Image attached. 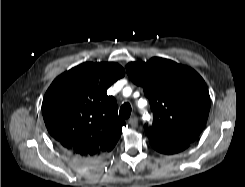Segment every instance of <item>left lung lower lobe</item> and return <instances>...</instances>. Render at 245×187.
Listing matches in <instances>:
<instances>
[{
    "label": "left lung lower lobe",
    "instance_id": "1",
    "mask_svg": "<svg viewBox=\"0 0 245 187\" xmlns=\"http://www.w3.org/2000/svg\"><path fill=\"white\" fill-rule=\"evenodd\" d=\"M151 146L160 153L163 154H175L186 149L191 143L182 142L174 144H165L157 141L149 140Z\"/></svg>",
    "mask_w": 245,
    "mask_h": 187
}]
</instances>
